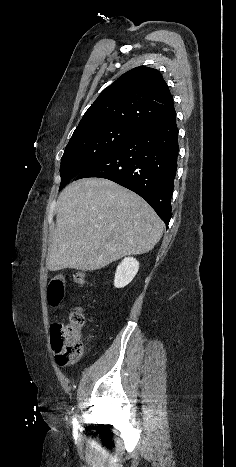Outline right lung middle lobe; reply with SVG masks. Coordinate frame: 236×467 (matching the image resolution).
Segmentation results:
<instances>
[{
    "instance_id": "dd1d6c3e",
    "label": "right lung middle lobe",
    "mask_w": 236,
    "mask_h": 467,
    "mask_svg": "<svg viewBox=\"0 0 236 467\" xmlns=\"http://www.w3.org/2000/svg\"><path fill=\"white\" fill-rule=\"evenodd\" d=\"M136 132L127 126L106 125L74 133L61 158L59 190Z\"/></svg>"
}]
</instances>
